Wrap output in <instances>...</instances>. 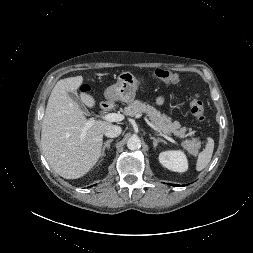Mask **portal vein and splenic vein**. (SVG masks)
<instances>
[{
    "instance_id": "1",
    "label": "portal vein and splenic vein",
    "mask_w": 253,
    "mask_h": 253,
    "mask_svg": "<svg viewBox=\"0 0 253 253\" xmlns=\"http://www.w3.org/2000/svg\"><path fill=\"white\" fill-rule=\"evenodd\" d=\"M104 120L109 121V122H119L122 121L124 119V115L120 114V113H108L106 114L104 117ZM145 121L147 122V124L155 131L159 132L158 129L147 119L145 118ZM91 126V122H88L86 124V126L83 128L82 131V135L84 136L86 134V131L88 130V128ZM161 136H164L165 138H167L168 140L174 142V140L172 139V137L168 134H163L160 132Z\"/></svg>"
}]
</instances>
